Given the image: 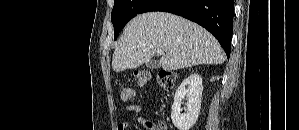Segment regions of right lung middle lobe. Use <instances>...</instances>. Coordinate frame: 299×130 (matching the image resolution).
I'll return each mask as SVG.
<instances>
[{"label": "right lung middle lobe", "instance_id": "right-lung-middle-lobe-1", "mask_svg": "<svg viewBox=\"0 0 299 130\" xmlns=\"http://www.w3.org/2000/svg\"><path fill=\"white\" fill-rule=\"evenodd\" d=\"M149 0H114L111 20L114 25V40L122 28L146 5Z\"/></svg>", "mask_w": 299, "mask_h": 130}]
</instances>
